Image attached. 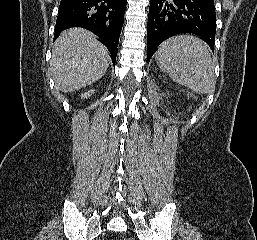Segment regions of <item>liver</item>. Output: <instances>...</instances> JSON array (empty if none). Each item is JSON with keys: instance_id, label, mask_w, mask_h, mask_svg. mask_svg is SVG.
<instances>
[{"instance_id": "obj_1", "label": "liver", "mask_w": 257, "mask_h": 240, "mask_svg": "<svg viewBox=\"0 0 257 240\" xmlns=\"http://www.w3.org/2000/svg\"><path fill=\"white\" fill-rule=\"evenodd\" d=\"M110 55L87 30L71 28L57 38L50 61L57 89L73 92L98 81L107 71Z\"/></svg>"}]
</instances>
